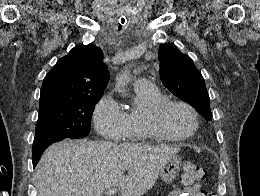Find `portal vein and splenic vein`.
Listing matches in <instances>:
<instances>
[{
	"label": "portal vein and splenic vein",
	"mask_w": 260,
	"mask_h": 196,
	"mask_svg": "<svg viewBox=\"0 0 260 196\" xmlns=\"http://www.w3.org/2000/svg\"><path fill=\"white\" fill-rule=\"evenodd\" d=\"M118 190L117 188H109L107 192H105L106 196H115L117 194Z\"/></svg>",
	"instance_id": "portal-vein-and-splenic-vein-1"
}]
</instances>
